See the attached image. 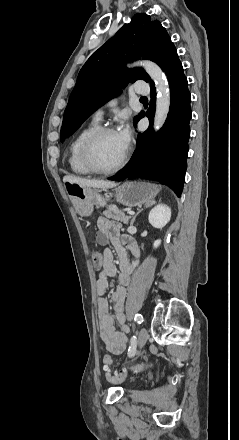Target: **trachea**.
Here are the masks:
<instances>
[{
    "instance_id": "trachea-1",
    "label": "trachea",
    "mask_w": 239,
    "mask_h": 440,
    "mask_svg": "<svg viewBox=\"0 0 239 440\" xmlns=\"http://www.w3.org/2000/svg\"><path fill=\"white\" fill-rule=\"evenodd\" d=\"M141 99H143V101H147V100H146V97H141Z\"/></svg>"
}]
</instances>
